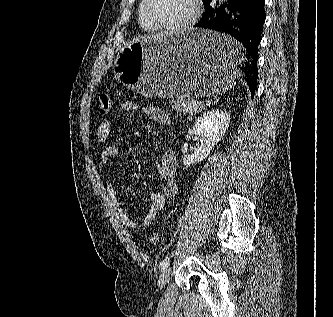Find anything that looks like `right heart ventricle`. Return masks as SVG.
Segmentation results:
<instances>
[{"instance_id":"1","label":"right heart ventricle","mask_w":333,"mask_h":317,"mask_svg":"<svg viewBox=\"0 0 333 317\" xmlns=\"http://www.w3.org/2000/svg\"><path fill=\"white\" fill-rule=\"evenodd\" d=\"M144 0L141 1L138 8V22L145 32H154L156 29L147 21L143 12Z\"/></svg>"}]
</instances>
